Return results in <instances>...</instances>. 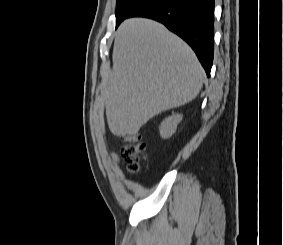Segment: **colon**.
<instances>
[{
  "label": "colon",
  "instance_id": "obj_1",
  "mask_svg": "<svg viewBox=\"0 0 283 245\" xmlns=\"http://www.w3.org/2000/svg\"><path fill=\"white\" fill-rule=\"evenodd\" d=\"M145 144L139 134H132L125 137V145L122 148V155L130 172L137 173L141 168L144 159Z\"/></svg>",
  "mask_w": 283,
  "mask_h": 245
}]
</instances>
